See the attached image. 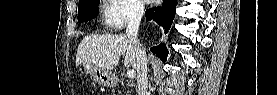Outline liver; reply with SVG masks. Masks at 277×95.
Here are the masks:
<instances>
[{
    "mask_svg": "<svg viewBox=\"0 0 277 95\" xmlns=\"http://www.w3.org/2000/svg\"><path fill=\"white\" fill-rule=\"evenodd\" d=\"M123 54H126L124 65L136 68V51L128 36L125 34L88 35L78 46L76 65L89 62L103 70L110 71L118 65L120 56Z\"/></svg>",
    "mask_w": 277,
    "mask_h": 95,
    "instance_id": "liver-1",
    "label": "liver"
}]
</instances>
